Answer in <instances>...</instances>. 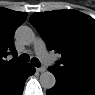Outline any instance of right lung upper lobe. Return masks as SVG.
<instances>
[{"label":"right lung upper lobe","mask_w":95,"mask_h":95,"mask_svg":"<svg viewBox=\"0 0 95 95\" xmlns=\"http://www.w3.org/2000/svg\"><path fill=\"white\" fill-rule=\"evenodd\" d=\"M26 18L27 13L0 8V94L11 89L23 77L28 66L14 58L5 61L7 54H16L14 33Z\"/></svg>","instance_id":"1"}]
</instances>
